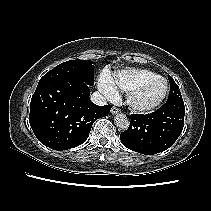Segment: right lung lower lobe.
Wrapping results in <instances>:
<instances>
[{
  "label": "right lung lower lobe",
  "instance_id": "98d812e1",
  "mask_svg": "<svg viewBox=\"0 0 211 211\" xmlns=\"http://www.w3.org/2000/svg\"><path fill=\"white\" fill-rule=\"evenodd\" d=\"M87 82L79 77L37 86L30 104L29 123L37 139L54 150L77 147L88 138L95 120L109 114L111 105L89 98Z\"/></svg>",
  "mask_w": 211,
  "mask_h": 211
}]
</instances>
